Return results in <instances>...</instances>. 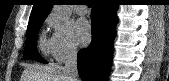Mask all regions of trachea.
<instances>
[{
	"mask_svg": "<svg viewBox=\"0 0 169 81\" xmlns=\"http://www.w3.org/2000/svg\"><path fill=\"white\" fill-rule=\"evenodd\" d=\"M84 3H85L84 5H88V6L91 5V2H90V1H86V2H84Z\"/></svg>",
	"mask_w": 169,
	"mask_h": 81,
	"instance_id": "obj_1",
	"label": "trachea"
}]
</instances>
